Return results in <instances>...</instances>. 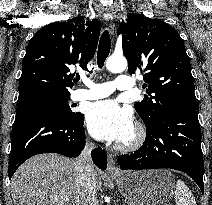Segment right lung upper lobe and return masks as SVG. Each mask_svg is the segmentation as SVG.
<instances>
[{
  "mask_svg": "<svg viewBox=\"0 0 212 205\" xmlns=\"http://www.w3.org/2000/svg\"><path fill=\"white\" fill-rule=\"evenodd\" d=\"M101 23L82 17L50 23L31 38L22 63L19 97L51 92L70 94L75 67L87 69L95 54Z\"/></svg>",
  "mask_w": 212,
  "mask_h": 205,
  "instance_id": "right-lung-upper-lobe-1",
  "label": "right lung upper lobe"
}]
</instances>
